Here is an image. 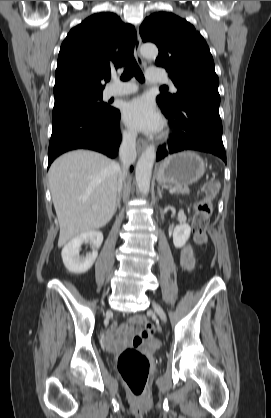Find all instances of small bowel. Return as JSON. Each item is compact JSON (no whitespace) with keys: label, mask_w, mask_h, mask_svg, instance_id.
<instances>
[{"label":"small bowel","mask_w":271,"mask_h":418,"mask_svg":"<svg viewBox=\"0 0 271 418\" xmlns=\"http://www.w3.org/2000/svg\"><path fill=\"white\" fill-rule=\"evenodd\" d=\"M180 263L182 268L185 270H191L194 266L195 260L193 250L192 247L188 244L184 245L181 249ZM138 319L139 317H133L129 319L122 327L112 325L104 338L105 346L109 350L114 351L121 345L127 343L129 341V337L133 334V325L140 324ZM132 342L135 346H140L142 344V337L139 335L134 336ZM151 342L154 345L157 344L155 340H152Z\"/></svg>","instance_id":"small-bowel-1"}]
</instances>
